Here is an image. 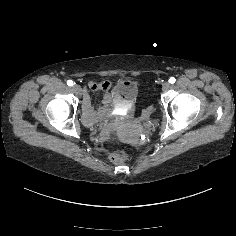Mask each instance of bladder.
<instances>
[{
    "label": "bladder",
    "instance_id": "1",
    "mask_svg": "<svg viewBox=\"0 0 236 236\" xmlns=\"http://www.w3.org/2000/svg\"><path fill=\"white\" fill-rule=\"evenodd\" d=\"M111 93L114 98L131 102L138 96V84L134 80L120 79L115 82Z\"/></svg>",
    "mask_w": 236,
    "mask_h": 236
}]
</instances>
